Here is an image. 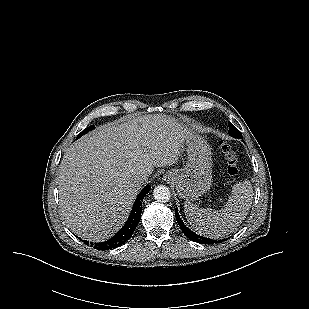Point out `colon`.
<instances>
[{
    "instance_id": "1",
    "label": "colon",
    "mask_w": 309,
    "mask_h": 309,
    "mask_svg": "<svg viewBox=\"0 0 309 309\" xmlns=\"http://www.w3.org/2000/svg\"><path fill=\"white\" fill-rule=\"evenodd\" d=\"M219 146L227 164L228 174L231 176H236L239 173V161L236 152L225 141H220Z\"/></svg>"
}]
</instances>
